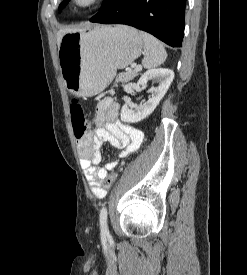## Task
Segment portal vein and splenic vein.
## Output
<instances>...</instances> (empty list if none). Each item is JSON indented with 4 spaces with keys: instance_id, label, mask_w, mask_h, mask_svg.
<instances>
[{
    "instance_id": "portal-vein-and-splenic-vein-1",
    "label": "portal vein and splenic vein",
    "mask_w": 247,
    "mask_h": 275,
    "mask_svg": "<svg viewBox=\"0 0 247 275\" xmlns=\"http://www.w3.org/2000/svg\"><path fill=\"white\" fill-rule=\"evenodd\" d=\"M141 70H142V67H141V66H136V67H135V71L139 72V71H141Z\"/></svg>"
}]
</instances>
